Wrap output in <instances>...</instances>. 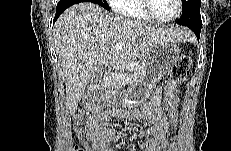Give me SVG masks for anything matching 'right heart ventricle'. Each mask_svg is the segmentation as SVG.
<instances>
[{"label": "right heart ventricle", "mask_w": 231, "mask_h": 151, "mask_svg": "<svg viewBox=\"0 0 231 151\" xmlns=\"http://www.w3.org/2000/svg\"><path fill=\"white\" fill-rule=\"evenodd\" d=\"M115 10L122 13L130 21L150 22L142 11L141 0H122Z\"/></svg>", "instance_id": "obj_1"}]
</instances>
